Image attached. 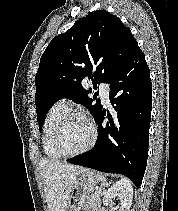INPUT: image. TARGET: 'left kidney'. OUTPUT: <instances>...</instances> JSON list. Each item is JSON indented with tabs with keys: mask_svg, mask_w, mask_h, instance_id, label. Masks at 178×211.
Masks as SVG:
<instances>
[{
	"mask_svg": "<svg viewBox=\"0 0 178 211\" xmlns=\"http://www.w3.org/2000/svg\"><path fill=\"white\" fill-rule=\"evenodd\" d=\"M118 197L120 199V205L116 206L114 210L129 211L132 198L133 188L129 180L121 179L114 183L104 194L103 204L105 206H112L113 199Z\"/></svg>",
	"mask_w": 178,
	"mask_h": 211,
	"instance_id": "obj_1",
	"label": "left kidney"
}]
</instances>
